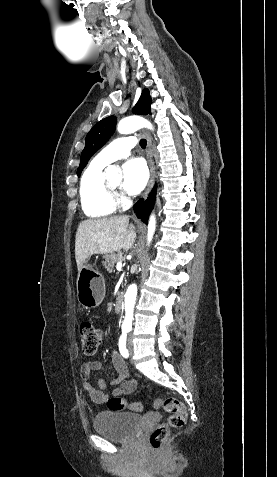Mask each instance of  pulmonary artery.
<instances>
[{"instance_id": "obj_1", "label": "pulmonary artery", "mask_w": 277, "mask_h": 477, "mask_svg": "<svg viewBox=\"0 0 277 477\" xmlns=\"http://www.w3.org/2000/svg\"><path fill=\"white\" fill-rule=\"evenodd\" d=\"M135 145L136 140L133 136L118 138L103 148L95 159L105 164L112 163L118 159L127 157Z\"/></svg>"}]
</instances>
